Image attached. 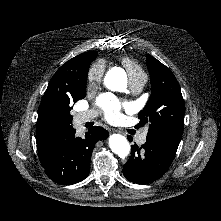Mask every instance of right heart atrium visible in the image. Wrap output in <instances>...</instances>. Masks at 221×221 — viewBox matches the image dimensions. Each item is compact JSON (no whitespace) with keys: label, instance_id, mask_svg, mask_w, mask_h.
I'll return each mask as SVG.
<instances>
[{"label":"right heart atrium","instance_id":"obj_1","mask_svg":"<svg viewBox=\"0 0 221 221\" xmlns=\"http://www.w3.org/2000/svg\"><path fill=\"white\" fill-rule=\"evenodd\" d=\"M104 71L105 65L101 61H96L90 66L87 72V87L89 89L93 88L101 81Z\"/></svg>","mask_w":221,"mask_h":221}]
</instances>
